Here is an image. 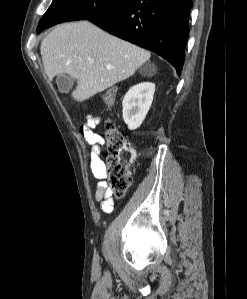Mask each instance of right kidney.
<instances>
[{"instance_id": "ca27d5eb", "label": "right kidney", "mask_w": 247, "mask_h": 299, "mask_svg": "<svg viewBox=\"0 0 247 299\" xmlns=\"http://www.w3.org/2000/svg\"><path fill=\"white\" fill-rule=\"evenodd\" d=\"M155 84L143 82L131 87L124 96L123 119L129 130H135L142 124L153 101Z\"/></svg>"}]
</instances>
